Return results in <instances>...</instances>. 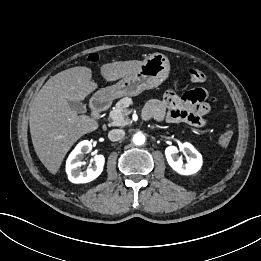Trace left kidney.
Listing matches in <instances>:
<instances>
[{
  "label": "left kidney",
  "mask_w": 261,
  "mask_h": 261,
  "mask_svg": "<svg viewBox=\"0 0 261 261\" xmlns=\"http://www.w3.org/2000/svg\"><path fill=\"white\" fill-rule=\"evenodd\" d=\"M180 150L190 156L186 164L177 155L178 148L176 146H169L165 149L166 159L171 168L181 175H191L198 172L203 163L202 155L188 142L183 143Z\"/></svg>",
  "instance_id": "5707ae66"
}]
</instances>
